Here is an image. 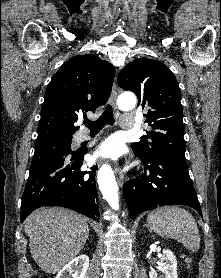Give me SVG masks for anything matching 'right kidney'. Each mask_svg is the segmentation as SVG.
<instances>
[{"label":"right kidney","mask_w":221,"mask_h":278,"mask_svg":"<svg viewBox=\"0 0 221 278\" xmlns=\"http://www.w3.org/2000/svg\"><path fill=\"white\" fill-rule=\"evenodd\" d=\"M89 268V257L79 255L66 264L55 278H85Z\"/></svg>","instance_id":"obj_1"}]
</instances>
